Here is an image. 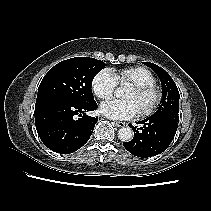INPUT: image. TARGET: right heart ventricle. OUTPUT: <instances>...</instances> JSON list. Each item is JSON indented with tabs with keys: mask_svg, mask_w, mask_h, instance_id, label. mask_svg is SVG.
I'll return each instance as SVG.
<instances>
[{
	"mask_svg": "<svg viewBox=\"0 0 211 211\" xmlns=\"http://www.w3.org/2000/svg\"><path fill=\"white\" fill-rule=\"evenodd\" d=\"M112 72L117 82L120 83H131V84L155 83V77L152 74V72L144 67L140 66L129 67Z\"/></svg>",
	"mask_w": 211,
	"mask_h": 211,
	"instance_id": "obj_1",
	"label": "right heart ventricle"
}]
</instances>
